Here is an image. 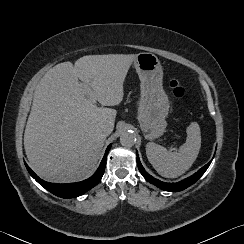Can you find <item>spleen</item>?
Wrapping results in <instances>:
<instances>
[{"mask_svg": "<svg viewBox=\"0 0 244 244\" xmlns=\"http://www.w3.org/2000/svg\"><path fill=\"white\" fill-rule=\"evenodd\" d=\"M201 148V132L197 122L187 128L186 142L178 151H169L153 142L146 144V155L153 168L163 177L176 178L190 169Z\"/></svg>", "mask_w": 244, "mask_h": 244, "instance_id": "3e777b00", "label": "spleen"}]
</instances>
